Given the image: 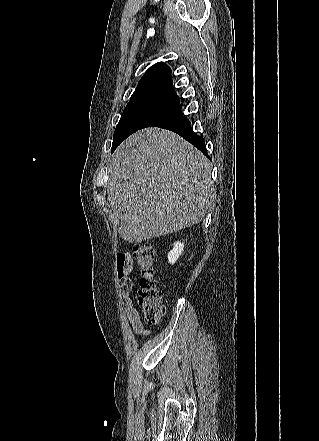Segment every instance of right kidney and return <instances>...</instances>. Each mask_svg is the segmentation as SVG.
<instances>
[{
  "instance_id": "right-kidney-1",
  "label": "right kidney",
  "mask_w": 319,
  "mask_h": 441,
  "mask_svg": "<svg viewBox=\"0 0 319 441\" xmlns=\"http://www.w3.org/2000/svg\"><path fill=\"white\" fill-rule=\"evenodd\" d=\"M184 249V243H181V241H177L173 244V249L170 250V252L168 253V262L170 264H174L179 256L181 255V253L183 252Z\"/></svg>"
}]
</instances>
